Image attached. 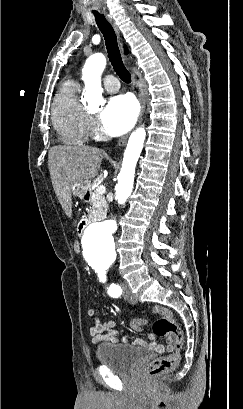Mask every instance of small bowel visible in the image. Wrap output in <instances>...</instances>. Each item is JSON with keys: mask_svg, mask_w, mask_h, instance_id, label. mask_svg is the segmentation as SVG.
<instances>
[{"mask_svg": "<svg viewBox=\"0 0 243 409\" xmlns=\"http://www.w3.org/2000/svg\"><path fill=\"white\" fill-rule=\"evenodd\" d=\"M94 309L92 307L87 308L86 313L89 316L94 315ZM92 342L94 344L102 343H129L127 336H119V330L117 329V324L115 321H101L99 318L94 319L93 325L89 329ZM135 346H143L149 349L155 350L157 352L173 351L174 346L172 344H159L157 338L154 334H150L148 341L141 338H134L131 342Z\"/></svg>", "mask_w": 243, "mask_h": 409, "instance_id": "1", "label": "small bowel"}]
</instances>
